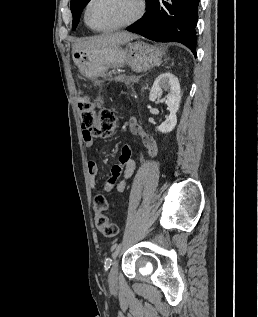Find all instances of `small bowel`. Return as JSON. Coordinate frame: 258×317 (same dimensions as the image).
Wrapping results in <instances>:
<instances>
[{
  "instance_id": "small-bowel-1",
  "label": "small bowel",
  "mask_w": 258,
  "mask_h": 317,
  "mask_svg": "<svg viewBox=\"0 0 258 317\" xmlns=\"http://www.w3.org/2000/svg\"><path fill=\"white\" fill-rule=\"evenodd\" d=\"M129 127L134 135L141 138L147 151V155L149 157H154L157 154V144L155 139L143 130L135 118L129 120ZM83 139L86 147L89 148L92 146L93 138L89 136L85 130H83ZM134 170L135 162L130 158V147L125 145L122 148L118 163L114 164L111 168L110 177L102 185V190L104 192H110L116 189L118 192H124L128 186V179L133 175ZM97 174V163L93 159H90L88 161V176L92 188L96 187ZM120 176H122L121 179H119Z\"/></svg>"
}]
</instances>
